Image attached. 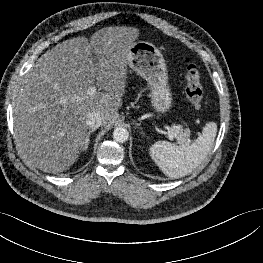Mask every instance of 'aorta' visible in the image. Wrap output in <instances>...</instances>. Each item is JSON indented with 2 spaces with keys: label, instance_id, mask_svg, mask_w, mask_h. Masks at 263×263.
Masks as SVG:
<instances>
[{
  "label": "aorta",
  "instance_id": "obj_1",
  "mask_svg": "<svg viewBox=\"0 0 263 263\" xmlns=\"http://www.w3.org/2000/svg\"><path fill=\"white\" fill-rule=\"evenodd\" d=\"M128 138H129V132H128V130L126 128L117 127L113 131V139L116 142L124 143V142H126L128 140Z\"/></svg>",
  "mask_w": 263,
  "mask_h": 263
}]
</instances>
